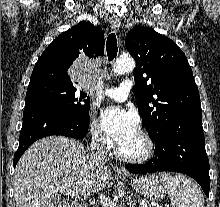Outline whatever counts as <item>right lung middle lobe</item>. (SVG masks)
<instances>
[{"label": "right lung middle lobe", "mask_w": 220, "mask_h": 207, "mask_svg": "<svg viewBox=\"0 0 220 207\" xmlns=\"http://www.w3.org/2000/svg\"><path fill=\"white\" fill-rule=\"evenodd\" d=\"M42 105L80 118H88L90 98L73 85L39 82L29 85L25 107Z\"/></svg>", "instance_id": "obj_1"}]
</instances>
